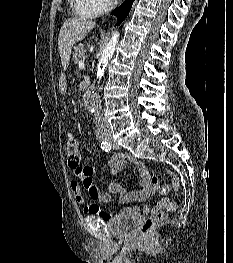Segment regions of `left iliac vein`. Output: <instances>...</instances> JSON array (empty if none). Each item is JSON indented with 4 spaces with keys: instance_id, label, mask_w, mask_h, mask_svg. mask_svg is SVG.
<instances>
[{
    "instance_id": "1",
    "label": "left iliac vein",
    "mask_w": 233,
    "mask_h": 263,
    "mask_svg": "<svg viewBox=\"0 0 233 263\" xmlns=\"http://www.w3.org/2000/svg\"><path fill=\"white\" fill-rule=\"evenodd\" d=\"M109 140L114 149H119V145L112 138H109Z\"/></svg>"
}]
</instances>
